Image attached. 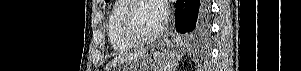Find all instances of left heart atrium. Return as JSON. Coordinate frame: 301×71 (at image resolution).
Returning a JSON list of instances; mask_svg holds the SVG:
<instances>
[{
	"mask_svg": "<svg viewBox=\"0 0 301 71\" xmlns=\"http://www.w3.org/2000/svg\"><path fill=\"white\" fill-rule=\"evenodd\" d=\"M155 3L157 4L160 23L162 26H164L168 19V8L163 1H155Z\"/></svg>",
	"mask_w": 301,
	"mask_h": 71,
	"instance_id": "39dd6f15",
	"label": "left heart atrium"
}]
</instances>
